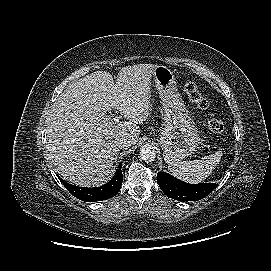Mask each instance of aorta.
<instances>
[{
    "instance_id": "762f6f07",
    "label": "aorta",
    "mask_w": 271,
    "mask_h": 271,
    "mask_svg": "<svg viewBox=\"0 0 271 271\" xmlns=\"http://www.w3.org/2000/svg\"><path fill=\"white\" fill-rule=\"evenodd\" d=\"M140 156L143 161L151 162L156 158V151L153 146L145 144L140 148Z\"/></svg>"
}]
</instances>
